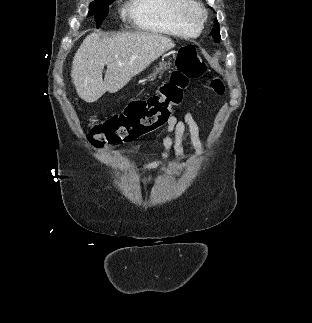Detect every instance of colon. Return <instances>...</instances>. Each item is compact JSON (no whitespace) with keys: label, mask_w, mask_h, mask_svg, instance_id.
I'll return each instance as SVG.
<instances>
[{"label":"colon","mask_w":312,"mask_h":323,"mask_svg":"<svg viewBox=\"0 0 312 323\" xmlns=\"http://www.w3.org/2000/svg\"><path fill=\"white\" fill-rule=\"evenodd\" d=\"M174 64L177 69L171 73L170 81L159 86L157 94L131 101L125 113L105 123H97L93 116L94 123L88 131L90 143L96 147L120 145L139 139L170 121L172 107L183 99V89L207 69L197 48L191 45L177 51ZM207 87L217 95H222L225 90L223 81L217 78L209 80Z\"/></svg>","instance_id":"5ec220e1"}]
</instances>
